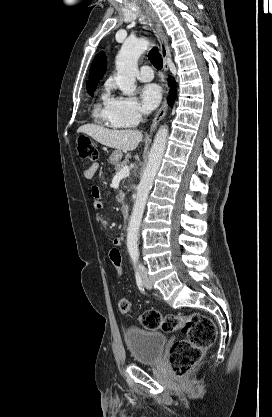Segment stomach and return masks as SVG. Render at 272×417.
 <instances>
[{"mask_svg": "<svg viewBox=\"0 0 272 417\" xmlns=\"http://www.w3.org/2000/svg\"><path fill=\"white\" fill-rule=\"evenodd\" d=\"M122 159V151L121 150H115L112 152V154L109 157V162L113 165H116L120 162Z\"/></svg>", "mask_w": 272, "mask_h": 417, "instance_id": "obj_1", "label": "stomach"}]
</instances>
